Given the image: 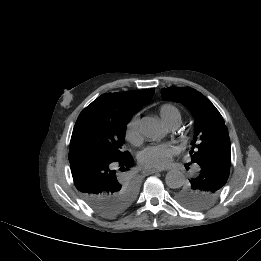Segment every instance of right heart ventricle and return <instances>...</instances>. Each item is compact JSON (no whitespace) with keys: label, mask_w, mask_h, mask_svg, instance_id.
<instances>
[{"label":"right heart ventricle","mask_w":261,"mask_h":261,"mask_svg":"<svg viewBox=\"0 0 261 261\" xmlns=\"http://www.w3.org/2000/svg\"><path fill=\"white\" fill-rule=\"evenodd\" d=\"M159 114L165 123H167L173 119L181 120L180 110L172 104H163L159 108Z\"/></svg>","instance_id":"1"}]
</instances>
